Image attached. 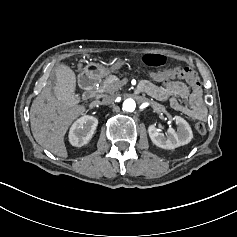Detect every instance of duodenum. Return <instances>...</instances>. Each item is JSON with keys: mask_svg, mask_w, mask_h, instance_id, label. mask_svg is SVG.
Wrapping results in <instances>:
<instances>
[{"mask_svg": "<svg viewBox=\"0 0 237 237\" xmlns=\"http://www.w3.org/2000/svg\"><path fill=\"white\" fill-rule=\"evenodd\" d=\"M100 76L99 69L95 65H90L80 74L79 84L84 90L91 91L100 80Z\"/></svg>", "mask_w": 237, "mask_h": 237, "instance_id": "duodenum-1", "label": "duodenum"}]
</instances>
